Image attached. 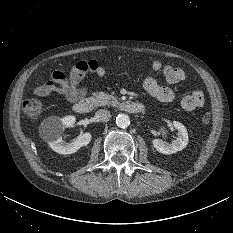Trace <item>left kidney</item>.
Wrapping results in <instances>:
<instances>
[{"label": "left kidney", "mask_w": 233, "mask_h": 233, "mask_svg": "<svg viewBox=\"0 0 233 233\" xmlns=\"http://www.w3.org/2000/svg\"><path fill=\"white\" fill-rule=\"evenodd\" d=\"M175 129L178 130V137L172 140L171 143L164 142L161 139H154L152 141L154 148L165 155L173 154L183 150L189 143L188 133L185 126L178 122L173 121Z\"/></svg>", "instance_id": "1"}]
</instances>
